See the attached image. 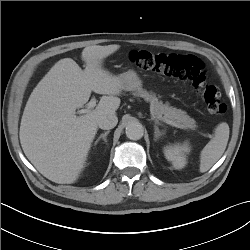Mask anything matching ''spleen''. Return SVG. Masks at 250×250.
Instances as JSON below:
<instances>
[{
    "label": "spleen",
    "mask_w": 250,
    "mask_h": 250,
    "mask_svg": "<svg viewBox=\"0 0 250 250\" xmlns=\"http://www.w3.org/2000/svg\"><path fill=\"white\" fill-rule=\"evenodd\" d=\"M229 132V126L226 122L217 125L213 138L201 151L200 172L208 171L221 158L228 143Z\"/></svg>",
    "instance_id": "3e777b00"
}]
</instances>
